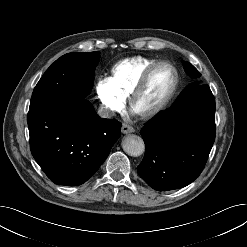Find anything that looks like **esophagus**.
Wrapping results in <instances>:
<instances>
[{
    "instance_id": "obj_1",
    "label": "esophagus",
    "mask_w": 247,
    "mask_h": 247,
    "mask_svg": "<svg viewBox=\"0 0 247 247\" xmlns=\"http://www.w3.org/2000/svg\"><path fill=\"white\" fill-rule=\"evenodd\" d=\"M135 131V129L132 127V126H130V125H128V124H122V127H121V132L123 133V134H128V133H132V132H134Z\"/></svg>"
}]
</instances>
